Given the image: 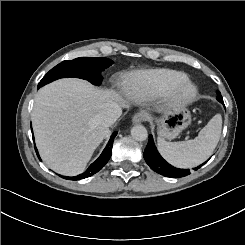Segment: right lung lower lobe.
<instances>
[{
    "mask_svg": "<svg viewBox=\"0 0 245 245\" xmlns=\"http://www.w3.org/2000/svg\"><path fill=\"white\" fill-rule=\"evenodd\" d=\"M116 135H117V132L112 133L111 138H110L107 146L103 150L102 154L100 155V157L94 163H92L84 173H82L78 176H74V177H64L63 176V178L69 179V180H80V179L90 177V176L94 175L95 173H97L99 170H101L106 165V163L108 162V160L111 157L113 141H114V138L116 137ZM35 150H36L38 158L40 159L36 147H35Z\"/></svg>",
    "mask_w": 245,
    "mask_h": 245,
    "instance_id": "1",
    "label": "right lung lower lobe"
}]
</instances>
